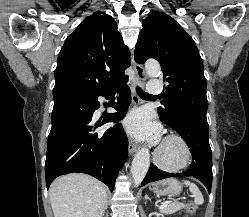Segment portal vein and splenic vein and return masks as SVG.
<instances>
[{"instance_id":"portal-vein-and-splenic-vein-1","label":"portal vein and splenic vein","mask_w":249,"mask_h":217,"mask_svg":"<svg viewBox=\"0 0 249 217\" xmlns=\"http://www.w3.org/2000/svg\"><path fill=\"white\" fill-rule=\"evenodd\" d=\"M168 204H169V201L162 203L161 206L159 207V209L160 210L164 209Z\"/></svg>"}]
</instances>
